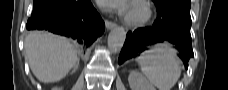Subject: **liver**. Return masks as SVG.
Here are the masks:
<instances>
[{"instance_id":"liver-1","label":"liver","mask_w":228,"mask_h":90,"mask_svg":"<svg viewBox=\"0 0 228 90\" xmlns=\"http://www.w3.org/2000/svg\"><path fill=\"white\" fill-rule=\"evenodd\" d=\"M24 49L33 74L44 83L61 80L79 60L66 38L47 32H30Z\"/></svg>"}]
</instances>
